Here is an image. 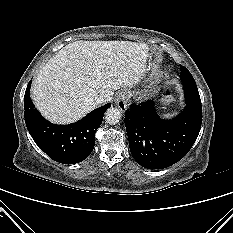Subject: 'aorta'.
I'll return each mask as SVG.
<instances>
[{
    "instance_id": "obj_1",
    "label": "aorta",
    "mask_w": 233,
    "mask_h": 233,
    "mask_svg": "<svg viewBox=\"0 0 233 233\" xmlns=\"http://www.w3.org/2000/svg\"><path fill=\"white\" fill-rule=\"evenodd\" d=\"M121 111L118 108L111 107L105 112V120L108 124H117L121 119Z\"/></svg>"
}]
</instances>
